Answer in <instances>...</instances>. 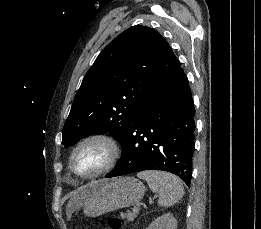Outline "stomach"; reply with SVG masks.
<instances>
[{"instance_id":"obj_1","label":"stomach","mask_w":261,"mask_h":229,"mask_svg":"<svg viewBox=\"0 0 261 229\" xmlns=\"http://www.w3.org/2000/svg\"><path fill=\"white\" fill-rule=\"evenodd\" d=\"M88 197L84 201L83 213L86 217H100L117 209H125L140 203L145 187L134 177L121 179H99L85 185Z\"/></svg>"}]
</instances>
